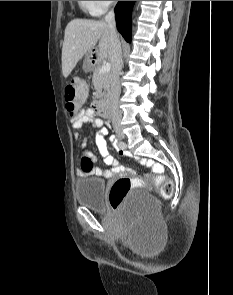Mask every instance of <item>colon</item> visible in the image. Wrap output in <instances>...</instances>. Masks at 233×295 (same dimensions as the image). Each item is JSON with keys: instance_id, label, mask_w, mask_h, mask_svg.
<instances>
[{"instance_id": "colon-1", "label": "colon", "mask_w": 233, "mask_h": 295, "mask_svg": "<svg viewBox=\"0 0 233 295\" xmlns=\"http://www.w3.org/2000/svg\"><path fill=\"white\" fill-rule=\"evenodd\" d=\"M87 97V87L85 83L78 78L72 79L65 87L64 98L66 110L71 116H75ZM93 163L88 158L83 157L81 161V170L84 173H91ZM154 181L159 185V191L162 197H170L173 192L172 183L162 176L154 177ZM142 182L138 179L128 177L119 178L114 182L109 193V204L113 209H118L130 194V192L140 187Z\"/></svg>"}]
</instances>
